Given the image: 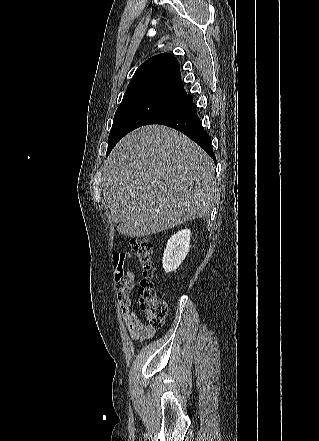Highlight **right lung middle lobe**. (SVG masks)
I'll list each match as a JSON object with an SVG mask.
<instances>
[{
    "label": "right lung middle lobe",
    "mask_w": 319,
    "mask_h": 441,
    "mask_svg": "<svg viewBox=\"0 0 319 441\" xmlns=\"http://www.w3.org/2000/svg\"><path fill=\"white\" fill-rule=\"evenodd\" d=\"M172 105V102L155 98H140L122 102L113 119L106 156L127 133L147 125L155 116Z\"/></svg>",
    "instance_id": "dd1d6c3e"
}]
</instances>
